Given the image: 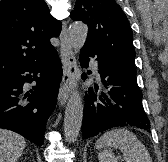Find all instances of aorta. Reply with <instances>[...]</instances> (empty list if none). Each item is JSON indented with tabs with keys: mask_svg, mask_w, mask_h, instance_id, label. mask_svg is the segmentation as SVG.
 <instances>
[{
	"mask_svg": "<svg viewBox=\"0 0 168 162\" xmlns=\"http://www.w3.org/2000/svg\"><path fill=\"white\" fill-rule=\"evenodd\" d=\"M88 27L82 22L72 23L68 29L71 46L80 50L86 41ZM83 118V102L78 91H73L67 103L64 116V134L68 142L76 141L81 130Z\"/></svg>",
	"mask_w": 168,
	"mask_h": 162,
	"instance_id": "1",
	"label": "aorta"
}]
</instances>
